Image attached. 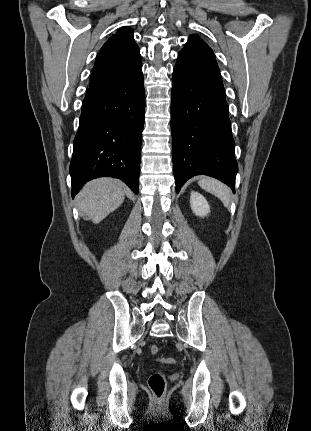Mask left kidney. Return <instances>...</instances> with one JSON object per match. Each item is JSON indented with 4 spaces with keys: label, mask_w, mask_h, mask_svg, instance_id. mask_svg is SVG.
<instances>
[{
    "label": "left kidney",
    "mask_w": 311,
    "mask_h": 431,
    "mask_svg": "<svg viewBox=\"0 0 311 431\" xmlns=\"http://www.w3.org/2000/svg\"><path fill=\"white\" fill-rule=\"evenodd\" d=\"M190 206L196 216L203 217L210 212V206L207 200H205L204 196L198 194V192H191Z\"/></svg>",
    "instance_id": "5707ae66"
}]
</instances>
